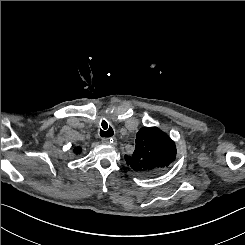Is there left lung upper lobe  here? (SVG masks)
I'll use <instances>...</instances> for the list:
<instances>
[{"instance_id":"5c2ea615","label":"left lung upper lobe","mask_w":245,"mask_h":245,"mask_svg":"<svg viewBox=\"0 0 245 245\" xmlns=\"http://www.w3.org/2000/svg\"><path fill=\"white\" fill-rule=\"evenodd\" d=\"M175 159L174 141L156 127L141 128L136 134L133 154L125 156L127 165L145 177L165 172Z\"/></svg>"}]
</instances>
